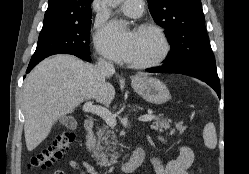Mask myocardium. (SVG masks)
I'll use <instances>...</instances> for the list:
<instances>
[{
	"label": "myocardium",
	"mask_w": 249,
	"mask_h": 174,
	"mask_svg": "<svg viewBox=\"0 0 249 174\" xmlns=\"http://www.w3.org/2000/svg\"><path fill=\"white\" fill-rule=\"evenodd\" d=\"M136 31H151L155 33L159 37L163 48L161 53L155 58L142 62H131V66L136 68H150L161 64L169 57L172 46L168 36L161 27L153 23H143L138 26Z\"/></svg>",
	"instance_id": "1"
}]
</instances>
